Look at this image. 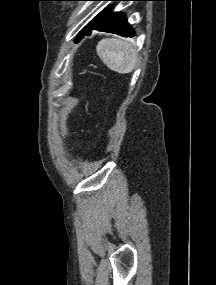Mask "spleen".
I'll use <instances>...</instances> for the list:
<instances>
[{"label":"spleen","instance_id":"obj_1","mask_svg":"<svg viewBox=\"0 0 216 285\" xmlns=\"http://www.w3.org/2000/svg\"><path fill=\"white\" fill-rule=\"evenodd\" d=\"M97 55L111 70L127 74L133 71L137 61L135 46L124 39L105 38L96 47Z\"/></svg>","mask_w":216,"mask_h":285}]
</instances>
